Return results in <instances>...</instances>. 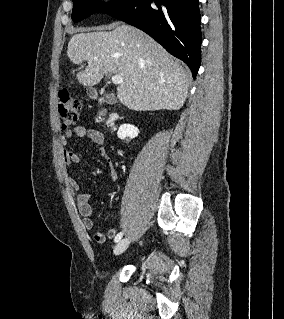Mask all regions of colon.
<instances>
[{"label": "colon", "instance_id": "obj_1", "mask_svg": "<svg viewBox=\"0 0 284 319\" xmlns=\"http://www.w3.org/2000/svg\"><path fill=\"white\" fill-rule=\"evenodd\" d=\"M80 110V103L73 98L68 92H63L60 95L58 104V112L63 130H68L77 120Z\"/></svg>", "mask_w": 284, "mask_h": 319}]
</instances>
